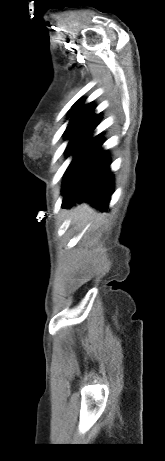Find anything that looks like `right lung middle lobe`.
Listing matches in <instances>:
<instances>
[{
  "label": "right lung middle lobe",
  "mask_w": 165,
  "mask_h": 461,
  "mask_svg": "<svg viewBox=\"0 0 165 461\" xmlns=\"http://www.w3.org/2000/svg\"><path fill=\"white\" fill-rule=\"evenodd\" d=\"M99 121L100 118L91 116H75L70 120L64 135L66 139H70L66 152L68 156L73 155L71 164L95 138L93 133Z\"/></svg>",
  "instance_id": "obj_1"
}]
</instances>
